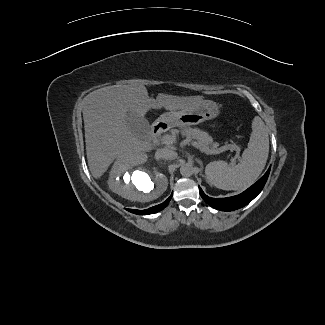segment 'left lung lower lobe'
Instances as JSON below:
<instances>
[{"mask_svg": "<svg viewBox=\"0 0 325 325\" xmlns=\"http://www.w3.org/2000/svg\"><path fill=\"white\" fill-rule=\"evenodd\" d=\"M270 172V167L267 172L261 177L256 183H254L247 190L239 195L227 197V198H211L204 194L202 189L199 187L201 197L211 207L221 211H233L239 209L248 203H250L263 189Z\"/></svg>", "mask_w": 325, "mask_h": 325, "instance_id": "1", "label": "left lung lower lobe"}]
</instances>
